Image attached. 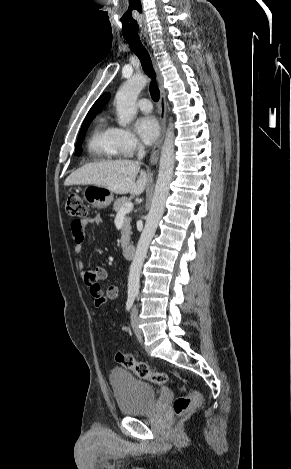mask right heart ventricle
Segmentation results:
<instances>
[{
  "label": "right heart ventricle",
  "mask_w": 291,
  "mask_h": 469,
  "mask_svg": "<svg viewBox=\"0 0 291 469\" xmlns=\"http://www.w3.org/2000/svg\"><path fill=\"white\" fill-rule=\"evenodd\" d=\"M112 129L105 116L101 115L96 119L87 142V150L93 158L113 159L118 155Z\"/></svg>",
  "instance_id": "obj_1"
}]
</instances>
